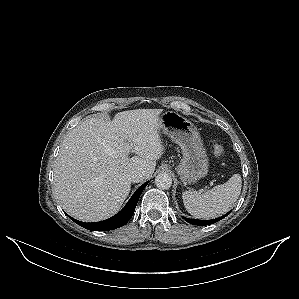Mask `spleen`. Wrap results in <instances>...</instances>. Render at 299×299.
I'll return each mask as SVG.
<instances>
[{"instance_id":"obj_1","label":"spleen","mask_w":299,"mask_h":299,"mask_svg":"<svg viewBox=\"0 0 299 299\" xmlns=\"http://www.w3.org/2000/svg\"><path fill=\"white\" fill-rule=\"evenodd\" d=\"M242 187L241 176L234 174L226 183L207 191H185L184 206L196 218L210 219L226 213L237 201Z\"/></svg>"}]
</instances>
